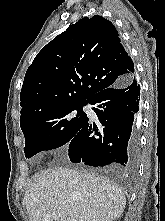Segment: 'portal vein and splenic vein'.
Instances as JSON below:
<instances>
[{
  "instance_id": "obj_1",
  "label": "portal vein and splenic vein",
  "mask_w": 165,
  "mask_h": 221,
  "mask_svg": "<svg viewBox=\"0 0 165 221\" xmlns=\"http://www.w3.org/2000/svg\"><path fill=\"white\" fill-rule=\"evenodd\" d=\"M51 217H52V218H57V215H56L55 213H52V214H51ZM69 221H76V220L70 219Z\"/></svg>"
}]
</instances>
